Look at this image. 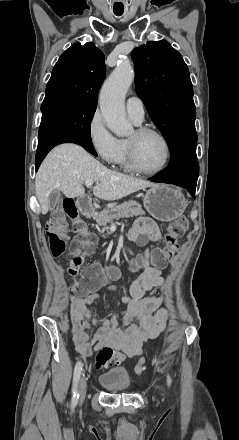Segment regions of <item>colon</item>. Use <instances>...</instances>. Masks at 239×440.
Segmentation results:
<instances>
[{
  "label": "colon",
  "instance_id": "1",
  "mask_svg": "<svg viewBox=\"0 0 239 440\" xmlns=\"http://www.w3.org/2000/svg\"><path fill=\"white\" fill-rule=\"evenodd\" d=\"M65 217L73 221L74 230L77 233L72 243L67 268L69 275L78 277L75 283V290L78 293L84 294L91 288L102 285L106 280L116 278L119 275V271L116 268H111L104 272L100 266L90 265L82 269L86 258L93 251L94 236L88 232L86 224L79 216L76 205L72 199H66L61 210H59L54 218L47 224L46 235L52 253L58 256L66 249L67 236L64 226ZM187 227L188 220L184 216L178 217L168 226L165 237V247L156 248L151 254L150 261L153 266L163 267L167 261L171 259L176 250L177 241L184 235ZM114 357L115 354L111 349H101L96 356V367L104 368L111 365L114 361ZM144 363L145 358H142L136 366V372L138 374L143 372Z\"/></svg>",
  "mask_w": 239,
  "mask_h": 440
}]
</instances>
